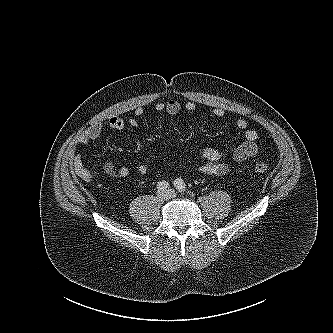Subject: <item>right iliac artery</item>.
Returning <instances> with one entry per match:
<instances>
[{
	"mask_svg": "<svg viewBox=\"0 0 333 333\" xmlns=\"http://www.w3.org/2000/svg\"><path fill=\"white\" fill-rule=\"evenodd\" d=\"M169 187V183L166 181H160L157 183V188L160 190H165Z\"/></svg>",
	"mask_w": 333,
	"mask_h": 333,
	"instance_id": "right-iliac-artery-1",
	"label": "right iliac artery"
}]
</instances>
